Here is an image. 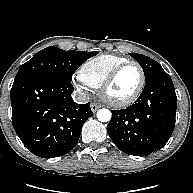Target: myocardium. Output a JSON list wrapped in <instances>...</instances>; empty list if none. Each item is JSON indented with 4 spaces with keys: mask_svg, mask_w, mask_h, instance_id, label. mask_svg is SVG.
Returning a JSON list of instances; mask_svg holds the SVG:
<instances>
[{
    "mask_svg": "<svg viewBox=\"0 0 193 193\" xmlns=\"http://www.w3.org/2000/svg\"><path fill=\"white\" fill-rule=\"evenodd\" d=\"M129 66H135L139 70L140 82H139L138 87L133 92V94H131L129 97H127L125 99L116 100V99L111 98L108 95V90H109L110 86L112 85V83L114 82L116 77L119 75V73ZM145 83H146V77H145V72H144V69L142 68V66L139 63H137L136 61H127L125 63L120 64L116 68H114L107 75V77L104 79L101 86L99 87L100 88V96L103 99V101L106 102L108 105H110L114 108H124V107L131 105L132 103H134L138 99V97L141 95V93L145 87Z\"/></svg>",
    "mask_w": 193,
    "mask_h": 193,
    "instance_id": "f54148a6",
    "label": "myocardium"
}]
</instances>
